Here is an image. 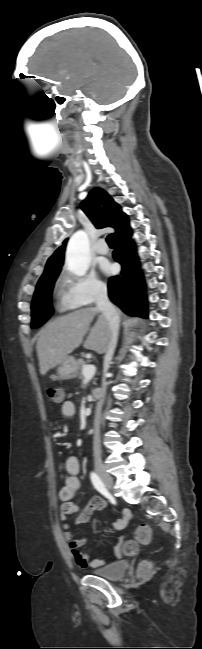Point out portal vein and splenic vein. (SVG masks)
I'll use <instances>...</instances> for the list:
<instances>
[{
  "label": "portal vein and splenic vein",
  "mask_w": 202,
  "mask_h": 649,
  "mask_svg": "<svg viewBox=\"0 0 202 649\" xmlns=\"http://www.w3.org/2000/svg\"><path fill=\"white\" fill-rule=\"evenodd\" d=\"M96 368L94 365H86L82 369V375L84 376L85 380H90L93 378L95 375Z\"/></svg>",
  "instance_id": "obj_1"
}]
</instances>
